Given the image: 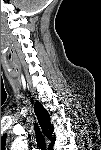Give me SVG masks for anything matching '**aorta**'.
<instances>
[{"instance_id":"1","label":"aorta","mask_w":101,"mask_h":150,"mask_svg":"<svg viewBox=\"0 0 101 150\" xmlns=\"http://www.w3.org/2000/svg\"><path fill=\"white\" fill-rule=\"evenodd\" d=\"M27 147H28L27 139L23 136H20L14 140V142L12 143L11 149L12 150H26Z\"/></svg>"}]
</instances>
